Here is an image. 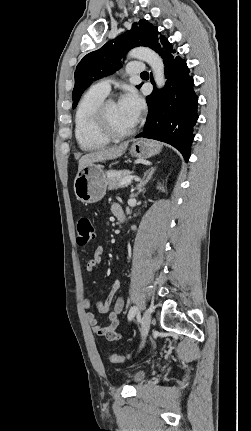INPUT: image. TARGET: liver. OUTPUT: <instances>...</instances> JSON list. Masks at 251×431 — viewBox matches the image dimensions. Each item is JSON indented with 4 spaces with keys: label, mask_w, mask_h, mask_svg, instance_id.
Segmentation results:
<instances>
[{
    "label": "liver",
    "mask_w": 251,
    "mask_h": 431,
    "mask_svg": "<svg viewBox=\"0 0 251 431\" xmlns=\"http://www.w3.org/2000/svg\"><path fill=\"white\" fill-rule=\"evenodd\" d=\"M129 142H124L118 146L103 148L82 156L78 162V171H81L87 164L115 159L124 154Z\"/></svg>",
    "instance_id": "liver-1"
}]
</instances>
